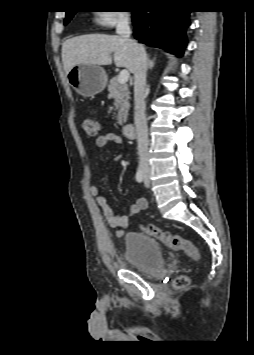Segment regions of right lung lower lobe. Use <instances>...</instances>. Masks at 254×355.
Here are the masks:
<instances>
[{"label": "right lung lower lobe", "instance_id": "obj_1", "mask_svg": "<svg viewBox=\"0 0 254 355\" xmlns=\"http://www.w3.org/2000/svg\"><path fill=\"white\" fill-rule=\"evenodd\" d=\"M189 13V10L171 7L159 8L150 13L133 10L134 36L144 44L182 56L187 43Z\"/></svg>", "mask_w": 254, "mask_h": 355}]
</instances>
